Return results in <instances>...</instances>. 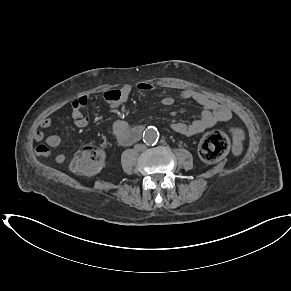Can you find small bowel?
<instances>
[{"mask_svg":"<svg viewBox=\"0 0 291 291\" xmlns=\"http://www.w3.org/2000/svg\"><path fill=\"white\" fill-rule=\"evenodd\" d=\"M137 87L142 91H151L153 86L145 80L138 82ZM132 92V86L125 84L119 88H111L105 91L104 100L108 105V110L116 112L124 107L130 98ZM180 97L184 100L195 101L202 107V112L199 118L193 120L190 123L175 122L172 124V129L181 135L192 136L204 132L205 130L213 127L219 122H226L231 118V112L225 105L216 102L204 93L195 91L192 89H184L180 93ZM161 103L169 107L174 103V99L171 96H165L162 98ZM88 104V97L81 96L73 100L70 104L71 118L73 123L79 128L88 127L91 123L90 116L84 113V109ZM64 108L59 107L48 114L41 122L40 128L35 132L34 138L37 141L44 139V130L49 128L54 119L63 113ZM144 129V125L131 127L125 120H117L114 122L112 130L117 141L123 145L128 146L136 142L140 137ZM46 145H39L36 149V153L39 156H50V148H58L62 144V139L58 135H49L45 139ZM42 146L45 151L38 150ZM67 159L65 154H57L55 160L57 163H63Z\"/></svg>","mask_w":291,"mask_h":291,"instance_id":"c3829d8e","label":"small bowel"}]
</instances>
